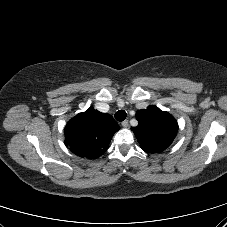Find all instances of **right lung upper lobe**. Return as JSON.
<instances>
[{
  "label": "right lung upper lobe",
  "mask_w": 227,
  "mask_h": 227,
  "mask_svg": "<svg viewBox=\"0 0 227 227\" xmlns=\"http://www.w3.org/2000/svg\"><path fill=\"white\" fill-rule=\"evenodd\" d=\"M119 129L111 115L90 107L67 123L65 144L77 156L96 159L108 149L112 136Z\"/></svg>",
  "instance_id": "obj_1"
}]
</instances>
